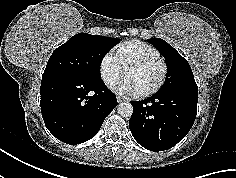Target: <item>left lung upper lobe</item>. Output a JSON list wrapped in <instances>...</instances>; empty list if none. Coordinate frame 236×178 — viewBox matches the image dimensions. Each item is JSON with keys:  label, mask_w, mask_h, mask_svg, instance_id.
Instances as JSON below:
<instances>
[{"label": "left lung upper lobe", "mask_w": 236, "mask_h": 178, "mask_svg": "<svg viewBox=\"0 0 236 178\" xmlns=\"http://www.w3.org/2000/svg\"><path fill=\"white\" fill-rule=\"evenodd\" d=\"M158 51L165 57L167 65V77L165 83L158 92H192L197 93V85L191 67L170 44L159 38L148 39Z\"/></svg>", "instance_id": "1"}]
</instances>
